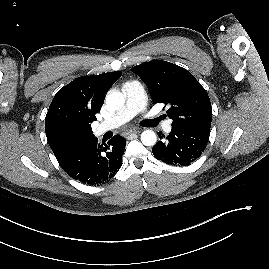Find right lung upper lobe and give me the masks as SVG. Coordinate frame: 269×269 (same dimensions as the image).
Here are the masks:
<instances>
[{
  "label": "right lung upper lobe",
  "instance_id": "1",
  "mask_svg": "<svg viewBox=\"0 0 269 269\" xmlns=\"http://www.w3.org/2000/svg\"><path fill=\"white\" fill-rule=\"evenodd\" d=\"M121 74L79 77L56 93L45 117V132L57 160L94 138L91 123L100 112L105 93Z\"/></svg>",
  "mask_w": 269,
  "mask_h": 269
}]
</instances>
